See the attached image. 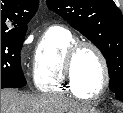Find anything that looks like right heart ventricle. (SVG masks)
I'll list each match as a JSON object with an SVG mask.
<instances>
[{"mask_svg":"<svg viewBox=\"0 0 123 113\" xmlns=\"http://www.w3.org/2000/svg\"><path fill=\"white\" fill-rule=\"evenodd\" d=\"M77 38L67 29L60 26L49 28L41 37L34 55L33 82L43 93H71L74 91L64 73V60L68 49Z\"/></svg>","mask_w":123,"mask_h":113,"instance_id":"1","label":"right heart ventricle"}]
</instances>
